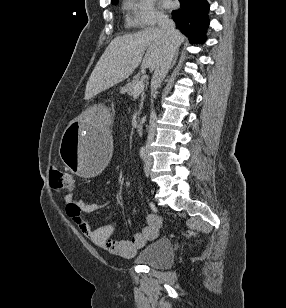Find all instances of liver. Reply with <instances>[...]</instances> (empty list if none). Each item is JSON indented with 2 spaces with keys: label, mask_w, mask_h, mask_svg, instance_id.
Returning <instances> with one entry per match:
<instances>
[{
  "label": "liver",
  "mask_w": 286,
  "mask_h": 308,
  "mask_svg": "<svg viewBox=\"0 0 286 308\" xmlns=\"http://www.w3.org/2000/svg\"><path fill=\"white\" fill-rule=\"evenodd\" d=\"M184 40V35L178 31V45ZM164 48L165 37L158 28L145 29L134 34L114 38L89 77L85 99H91L102 91L124 81L140 64L144 69L154 70L162 57ZM84 118L90 124H97L99 119L91 111H86Z\"/></svg>",
  "instance_id": "6515ba94"
}]
</instances>
